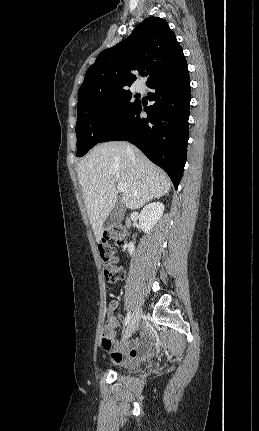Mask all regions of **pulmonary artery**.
<instances>
[{
    "mask_svg": "<svg viewBox=\"0 0 259 431\" xmlns=\"http://www.w3.org/2000/svg\"><path fill=\"white\" fill-rule=\"evenodd\" d=\"M137 90H142V87L140 85L137 86Z\"/></svg>",
    "mask_w": 259,
    "mask_h": 431,
    "instance_id": "1",
    "label": "pulmonary artery"
}]
</instances>
